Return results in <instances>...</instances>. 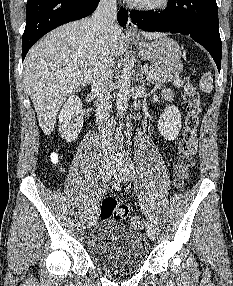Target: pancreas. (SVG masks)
<instances>
[{"label":"pancreas","mask_w":233,"mask_h":286,"mask_svg":"<svg viewBox=\"0 0 233 286\" xmlns=\"http://www.w3.org/2000/svg\"><path fill=\"white\" fill-rule=\"evenodd\" d=\"M149 72L154 74L153 77L148 76V80L153 84L163 85L164 83L172 82L178 88L183 85L179 69L152 65L149 68Z\"/></svg>","instance_id":"pancreas-1"}]
</instances>
